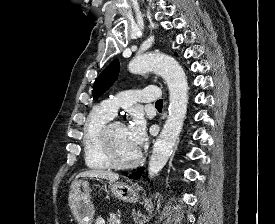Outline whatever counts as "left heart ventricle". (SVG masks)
<instances>
[{"label": "left heart ventricle", "mask_w": 275, "mask_h": 224, "mask_svg": "<svg viewBox=\"0 0 275 224\" xmlns=\"http://www.w3.org/2000/svg\"><path fill=\"white\" fill-rule=\"evenodd\" d=\"M111 142L116 157L121 161H130L134 159L139 152L128 139L125 126L122 124H115L112 127Z\"/></svg>", "instance_id": "obj_1"}]
</instances>
